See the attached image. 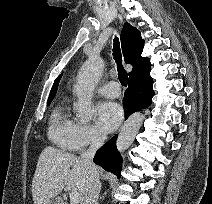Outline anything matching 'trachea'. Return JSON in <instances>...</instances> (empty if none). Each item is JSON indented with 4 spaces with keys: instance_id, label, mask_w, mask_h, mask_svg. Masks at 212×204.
I'll list each match as a JSON object with an SVG mask.
<instances>
[{
    "instance_id": "1",
    "label": "trachea",
    "mask_w": 212,
    "mask_h": 204,
    "mask_svg": "<svg viewBox=\"0 0 212 204\" xmlns=\"http://www.w3.org/2000/svg\"><path fill=\"white\" fill-rule=\"evenodd\" d=\"M113 56L117 63V70H118V78L123 86H127L128 82V75L126 70L122 66V57H121V51H120V45L118 38H114V44H113Z\"/></svg>"
}]
</instances>
